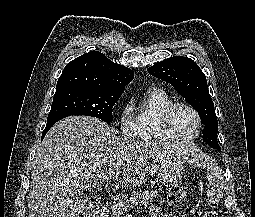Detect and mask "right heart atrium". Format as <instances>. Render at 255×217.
Instances as JSON below:
<instances>
[{
    "mask_svg": "<svg viewBox=\"0 0 255 217\" xmlns=\"http://www.w3.org/2000/svg\"><path fill=\"white\" fill-rule=\"evenodd\" d=\"M118 126L120 132L125 136L135 135V118L132 114V104L130 102L124 104L119 111Z\"/></svg>",
    "mask_w": 255,
    "mask_h": 217,
    "instance_id": "d8ad5b80",
    "label": "right heart atrium"
}]
</instances>
